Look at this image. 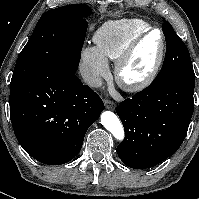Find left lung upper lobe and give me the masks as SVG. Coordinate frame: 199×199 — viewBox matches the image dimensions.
Listing matches in <instances>:
<instances>
[{
	"mask_svg": "<svg viewBox=\"0 0 199 199\" xmlns=\"http://www.w3.org/2000/svg\"><path fill=\"white\" fill-rule=\"evenodd\" d=\"M162 29L166 39V54L162 69L152 84H158L174 78L195 79L190 54L186 45L169 22L164 21Z\"/></svg>",
	"mask_w": 199,
	"mask_h": 199,
	"instance_id": "left-lung-upper-lobe-1",
	"label": "left lung upper lobe"
}]
</instances>
